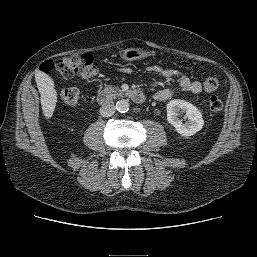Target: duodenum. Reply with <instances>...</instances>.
I'll use <instances>...</instances> for the list:
<instances>
[{"mask_svg": "<svg viewBox=\"0 0 257 257\" xmlns=\"http://www.w3.org/2000/svg\"><path fill=\"white\" fill-rule=\"evenodd\" d=\"M122 96L129 98L136 104H141L145 100V96L142 91L137 89H129L121 93ZM113 99V93L110 90L101 91L98 96L97 100L98 103L101 105L109 104Z\"/></svg>", "mask_w": 257, "mask_h": 257, "instance_id": "duodenum-1", "label": "duodenum"}]
</instances>
